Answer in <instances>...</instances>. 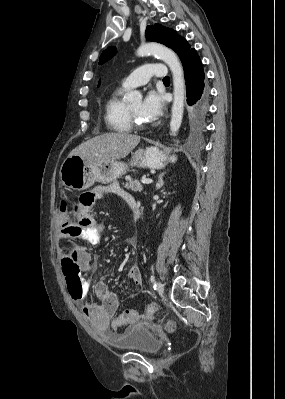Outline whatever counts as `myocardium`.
Here are the masks:
<instances>
[{
	"mask_svg": "<svg viewBox=\"0 0 285 399\" xmlns=\"http://www.w3.org/2000/svg\"><path fill=\"white\" fill-rule=\"evenodd\" d=\"M128 113H129V118H130V122H131L132 126H134L136 128H143L146 126V123L139 120L129 106H128Z\"/></svg>",
	"mask_w": 285,
	"mask_h": 399,
	"instance_id": "obj_1",
	"label": "myocardium"
}]
</instances>
